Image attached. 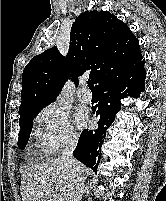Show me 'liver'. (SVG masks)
<instances>
[{"label": "liver", "mask_w": 166, "mask_h": 201, "mask_svg": "<svg viewBox=\"0 0 166 201\" xmlns=\"http://www.w3.org/2000/svg\"><path fill=\"white\" fill-rule=\"evenodd\" d=\"M72 186L67 163L62 158H54L31 165L22 173V201H69Z\"/></svg>", "instance_id": "1"}]
</instances>
